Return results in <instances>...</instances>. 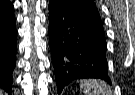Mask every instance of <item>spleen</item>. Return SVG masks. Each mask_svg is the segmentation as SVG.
I'll use <instances>...</instances> for the list:
<instances>
[{
    "instance_id": "3e777b00",
    "label": "spleen",
    "mask_w": 135,
    "mask_h": 95,
    "mask_svg": "<svg viewBox=\"0 0 135 95\" xmlns=\"http://www.w3.org/2000/svg\"><path fill=\"white\" fill-rule=\"evenodd\" d=\"M80 86L85 95H112L110 87L101 80H82Z\"/></svg>"
}]
</instances>
